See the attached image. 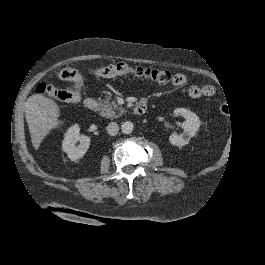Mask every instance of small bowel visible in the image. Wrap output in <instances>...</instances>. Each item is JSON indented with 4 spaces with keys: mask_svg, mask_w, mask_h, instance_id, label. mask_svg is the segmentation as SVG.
Returning a JSON list of instances; mask_svg holds the SVG:
<instances>
[{
    "mask_svg": "<svg viewBox=\"0 0 265 265\" xmlns=\"http://www.w3.org/2000/svg\"><path fill=\"white\" fill-rule=\"evenodd\" d=\"M173 85L177 87L184 86L187 82V78L182 73H177L173 76ZM215 87L211 84H206L203 86L193 85L188 89V94L191 98H200L202 96L210 97L214 95ZM146 98H142L141 102L146 103Z\"/></svg>",
    "mask_w": 265,
    "mask_h": 265,
    "instance_id": "small-bowel-1",
    "label": "small bowel"
}]
</instances>
